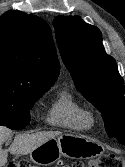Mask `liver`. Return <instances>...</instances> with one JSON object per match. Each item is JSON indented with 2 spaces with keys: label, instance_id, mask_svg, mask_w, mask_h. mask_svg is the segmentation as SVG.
Here are the masks:
<instances>
[{
  "label": "liver",
  "instance_id": "6515ba94",
  "mask_svg": "<svg viewBox=\"0 0 125 167\" xmlns=\"http://www.w3.org/2000/svg\"><path fill=\"white\" fill-rule=\"evenodd\" d=\"M59 131H47L37 133H23L15 136L14 141L8 149H3V143L12 135L7 127L0 126V167L7 163L8 152L14 155L30 154L35 148L44 142L60 136Z\"/></svg>",
  "mask_w": 125,
  "mask_h": 167
}]
</instances>
